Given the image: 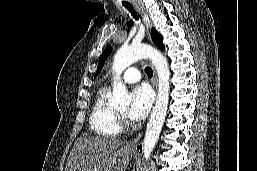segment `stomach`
<instances>
[{"mask_svg": "<svg viewBox=\"0 0 257 171\" xmlns=\"http://www.w3.org/2000/svg\"><path fill=\"white\" fill-rule=\"evenodd\" d=\"M132 154V151L126 149L117 150L104 160L98 171H125Z\"/></svg>", "mask_w": 257, "mask_h": 171, "instance_id": "0dacf381", "label": "stomach"}]
</instances>
